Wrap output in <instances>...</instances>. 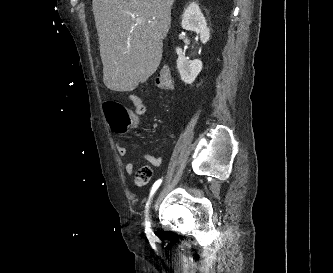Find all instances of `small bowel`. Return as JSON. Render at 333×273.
<instances>
[{"instance_id":"c3829d8e","label":"small bowel","mask_w":333,"mask_h":273,"mask_svg":"<svg viewBox=\"0 0 333 273\" xmlns=\"http://www.w3.org/2000/svg\"><path fill=\"white\" fill-rule=\"evenodd\" d=\"M130 100L132 102V117L139 118V121L133 125V128L138 127L142 122H144V118L146 117V103L144 100H141L137 95H131ZM117 152L119 156L126 157L128 155V150L121 143L117 142L116 144ZM141 157L147 161L150 165L154 167H160L163 163V158L161 156H154L149 153L141 154ZM136 163L134 161H129L125 164V171L128 174H132L135 170Z\"/></svg>"}]
</instances>
